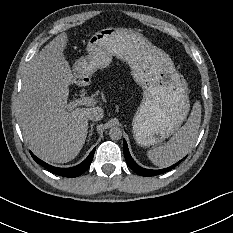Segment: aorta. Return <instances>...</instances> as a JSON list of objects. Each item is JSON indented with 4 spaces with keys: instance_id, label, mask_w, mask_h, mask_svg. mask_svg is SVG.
Returning <instances> with one entry per match:
<instances>
[{
    "instance_id": "obj_1",
    "label": "aorta",
    "mask_w": 233,
    "mask_h": 233,
    "mask_svg": "<svg viewBox=\"0 0 233 233\" xmlns=\"http://www.w3.org/2000/svg\"><path fill=\"white\" fill-rule=\"evenodd\" d=\"M109 135L112 139L118 140L122 137V130L119 126H113L109 130Z\"/></svg>"
}]
</instances>
